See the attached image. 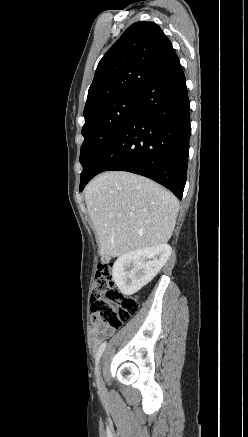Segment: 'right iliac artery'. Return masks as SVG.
Masks as SVG:
<instances>
[{"mask_svg":"<svg viewBox=\"0 0 248 437\" xmlns=\"http://www.w3.org/2000/svg\"><path fill=\"white\" fill-rule=\"evenodd\" d=\"M106 344H107L106 342L102 343L98 349V352L96 353V358H95L96 365L98 364L99 359H100L103 351L105 350Z\"/></svg>","mask_w":248,"mask_h":437,"instance_id":"82829eb1","label":"right iliac artery"}]
</instances>
